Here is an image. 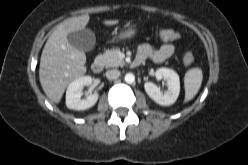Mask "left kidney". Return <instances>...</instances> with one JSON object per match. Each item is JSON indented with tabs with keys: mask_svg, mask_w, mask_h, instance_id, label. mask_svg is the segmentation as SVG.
<instances>
[{
	"mask_svg": "<svg viewBox=\"0 0 248 165\" xmlns=\"http://www.w3.org/2000/svg\"><path fill=\"white\" fill-rule=\"evenodd\" d=\"M155 76L158 80L164 78L167 81L168 90L163 94L157 85L152 82H146L144 88L147 95L157 104L162 106H168L175 103L180 93V80L178 74L172 69L159 68L156 70Z\"/></svg>",
	"mask_w": 248,
	"mask_h": 165,
	"instance_id": "left-kidney-1",
	"label": "left kidney"
}]
</instances>
